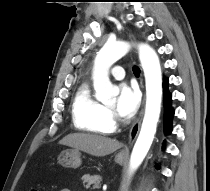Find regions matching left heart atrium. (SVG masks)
Masks as SVG:
<instances>
[{
    "label": "left heart atrium",
    "instance_id": "39dd6f15",
    "mask_svg": "<svg viewBox=\"0 0 210 191\" xmlns=\"http://www.w3.org/2000/svg\"><path fill=\"white\" fill-rule=\"evenodd\" d=\"M140 104V93L136 87L127 83L119 86V96L117 101V111L123 118L133 116Z\"/></svg>",
    "mask_w": 210,
    "mask_h": 191
}]
</instances>
